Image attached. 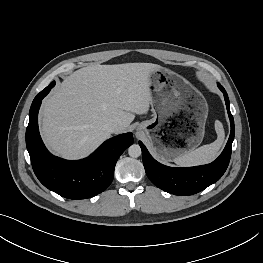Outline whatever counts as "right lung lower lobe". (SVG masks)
Wrapping results in <instances>:
<instances>
[{
	"mask_svg": "<svg viewBox=\"0 0 263 263\" xmlns=\"http://www.w3.org/2000/svg\"><path fill=\"white\" fill-rule=\"evenodd\" d=\"M55 85L52 82L33 100L26 129V146L39 181L48 189L68 199L91 198L112 182L116 162L134 139L126 133L105 141L89 157L69 161L53 156L44 146L38 129V111L42 99Z\"/></svg>",
	"mask_w": 263,
	"mask_h": 263,
	"instance_id": "obj_1",
	"label": "right lung lower lobe"
}]
</instances>
